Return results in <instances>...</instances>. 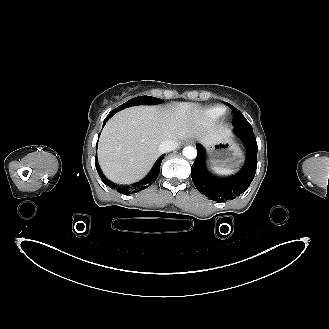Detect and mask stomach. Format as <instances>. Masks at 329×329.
I'll use <instances>...</instances> for the list:
<instances>
[{
  "label": "stomach",
  "mask_w": 329,
  "mask_h": 329,
  "mask_svg": "<svg viewBox=\"0 0 329 329\" xmlns=\"http://www.w3.org/2000/svg\"><path fill=\"white\" fill-rule=\"evenodd\" d=\"M205 146L209 162L214 169L232 170L243 161V153L231 137L216 143L206 144Z\"/></svg>",
  "instance_id": "stomach-1"
}]
</instances>
